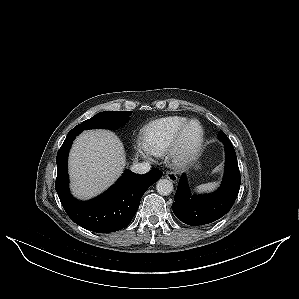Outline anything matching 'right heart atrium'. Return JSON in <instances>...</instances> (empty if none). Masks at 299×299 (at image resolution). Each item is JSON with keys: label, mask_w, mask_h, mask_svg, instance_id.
<instances>
[{"label": "right heart atrium", "mask_w": 299, "mask_h": 299, "mask_svg": "<svg viewBox=\"0 0 299 299\" xmlns=\"http://www.w3.org/2000/svg\"><path fill=\"white\" fill-rule=\"evenodd\" d=\"M138 152L142 155V156H144V157H148V154H150L147 150H146V148L144 147V146H142V145H139L138 146ZM151 155V154H150Z\"/></svg>", "instance_id": "1"}]
</instances>
